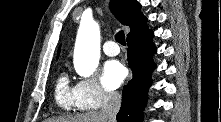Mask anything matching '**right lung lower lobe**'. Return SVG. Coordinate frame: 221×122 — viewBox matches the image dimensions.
<instances>
[{
	"instance_id": "right-lung-lower-lobe-1",
	"label": "right lung lower lobe",
	"mask_w": 221,
	"mask_h": 122,
	"mask_svg": "<svg viewBox=\"0 0 221 122\" xmlns=\"http://www.w3.org/2000/svg\"><path fill=\"white\" fill-rule=\"evenodd\" d=\"M152 30L147 26L140 32L127 37L128 63L133 72V78L124 86L122 105L117 114L118 122H141L142 109L147 102V92L152 83L151 73L155 69L152 55L156 53L151 43Z\"/></svg>"
}]
</instances>
